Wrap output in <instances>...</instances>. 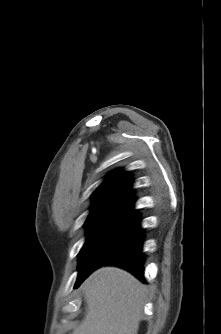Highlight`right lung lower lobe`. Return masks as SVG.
Segmentation results:
<instances>
[{"mask_svg": "<svg viewBox=\"0 0 221 334\" xmlns=\"http://www.w3.org/2000/svg\"><path fill=\"white\" fill-rule=\"evenodd\" d=\"M143 239H144V233L143 230L141 229L139 233L136 235V237L126 247L117 252L104 265H114L124 268L125 270H128L129 272L134 274L139 280L145 282L143 276L144 272L143 264L145 260L142 253ZM81 283L75 285V288H77Z\"/></svg>", "mask_w": 221, "mask_h": 334, "instance_id": "98d812e1", "label": "right lung lower lobe"}]
</instances>
